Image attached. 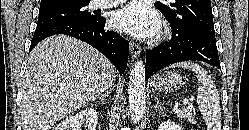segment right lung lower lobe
I'll return each instance as SVG.
<instances>
[{
	"label": "right lung lower lobe",
	"mask_w": 249,
	"mask_h": 130,
	"mask_svg": "<svg viewBox=\"0 0 249 130\" xmlns=\"http://www.w3.org/2000/svg\"><path fill=\"white\" fill-rule=\"evenodd\" d=\"M106 19L96 16L90 22H68L36 28L31 51L40 41L55 34H65L80 39L104 54L122 74L124 73L129 52V42L118 33L104 29Z\"/></svg>",
	"instance_id": "obj_1"
}]
</instances>
